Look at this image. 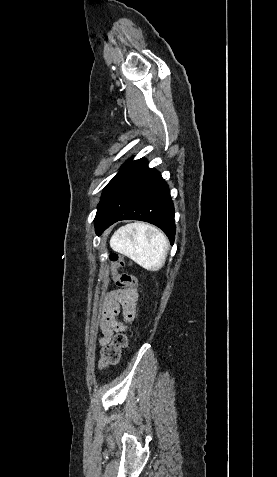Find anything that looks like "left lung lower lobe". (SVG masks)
Returning a JSON list of instances; mask_svg holds the SVG:
<instances>
[{"instance_id": "left-lung-lower-lobe-1", "label": "left lung lower lobe", "mask_w": 277, "mask_h": 477, "mask_svg": "<svg viewBox=\"0 0 277 477\" xmlns=\"http://www.w3.org/2000/svg\"><path fill=\"white\" fill-rule=\"evenodd\" d=\"M120 220H141L156 225L174 243V206L161 174L142 158L129 160L104 188L95 217L100 235Z\"/></svg>"}]
</instances>
